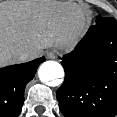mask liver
Segmentation results:
<instances>
[{
	"label": "liver",
	"mask_w": 117,
	"mask_h": 117,
	"mask_svg": "<svg viewBox=\"0 0 117 117\" xmlns=\"http://www.w3.org/2000/svg\"><path fill=\"white\" fill-rule=\"evenodd\" d=\"M89 21L88 13L77 5L0 4V66L35 58L45 48L72 44ZM26 51L32 54L23 57Z\"/></svg>",
	"instance_id": "6515ba94"
}]
</instances>
